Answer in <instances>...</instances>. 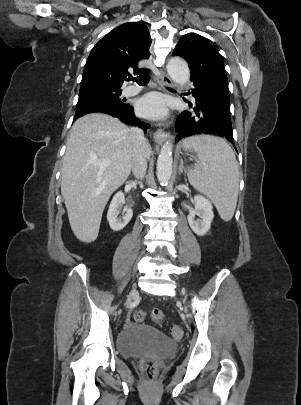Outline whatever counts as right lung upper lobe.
<instances>
[{"label":"right lung upper lobe","mask_w":301,"mask_h":405,"mask_svg":"<svg viewBox=\"0 0 301 405\" xmlns=\"http://www.w3.org/2000/svg\"><path fill=\"white\" fill-rule=\"evenodd\" d=\"M151 37L140 22H128L105 35L92 49L84 67L80 90L106 87L120 89L136 63L150 56ZM99 110V109H96ZM94 110V111H96Z\"/></svg>","instance_id":"obj_1"}]
</instances>
